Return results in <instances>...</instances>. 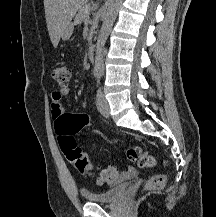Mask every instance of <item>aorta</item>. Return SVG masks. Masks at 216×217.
I'll return each instance as SVG.
<instances>
[{"instance_id":"obj_1","label":"aorta","mask_w":216,"mask_h":217,"mask_svg":"<svg viewBox=\"0 0 216 217\" xmlns=\"http://www.w3.org/2000/svg\"><path fill=\"white\" fill-rule=\"evenodd\" d=\"M122 0H108L107 12L98 35L93 74L101 77L104 74V47L117 17Z\"/></svg>"}]
</instances>
